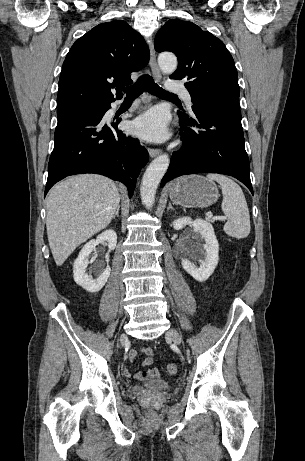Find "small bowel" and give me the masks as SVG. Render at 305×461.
I'll return each instance as SVG.
<instances>
[{"label": "small bowel", "mask_w": 305, "mask_h": 461, "mask_svg": "<svg viewBox=\"0 0 305 461\" xmlns=\"http://www.w3.org/2000/svg\"><path fill=\"white\" fill-rule=\"evenodd\" d=\"M138 353L145 354L146 357L142 360L141 364L144 367L150 366L154 362V351L152 348L149 347H138L135 349L130 350L129 352V358L133 360ZM152 377H158L159 376V370L158 369H152L150 371ZM124 376L125 377H134L136 379H139L141 377V373H135L134 375L131 374V372L128 369H124Z\"/></svg>", "instance_id": "obj_1"}]
</instances>
